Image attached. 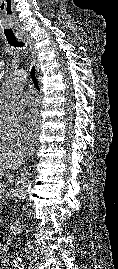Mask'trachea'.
<instances>
[{
	"instance_id": "3493384b",
	"label": "trachea",
	"mask_w": 118,
	"mask_h": 269,
	"mask_svg": "<svg viewBox=\"0 0 118 269\" xmlns=\"http://www.w3.org/2000/svg\"><path fill=\"white\" fill-rule=\"evenodd\" d=\"M8 43L13 46V47H23L25 44L22 43V42H19L17 39H7ZM30 76H31V79L33 80V83L36 87V89L38 91H40V87H39V84H38V80H37V76H36V70H35V66H33L31 68V71H30Z\"/></svg>"
}]
</instances>
